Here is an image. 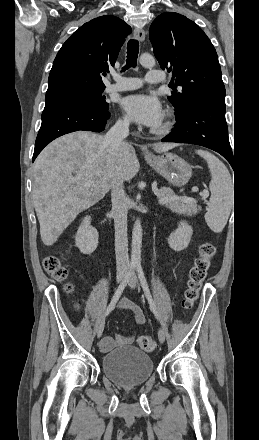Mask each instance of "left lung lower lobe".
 Returning <instances> with one entry per match:
<instances>
[{
	"label": "left lung lower lobe",
	"mask_w": 259,
	"mask_h": 440,
	"mask_svg": "<svg viewBox=\"0 0 259 440\" xmlns=\"http://www.w3.org/2000/svg\"><path fill=\"white\" fill-rule=\"evenodd\" d=\"M224 100L201 97L176 117V128L162 142L189 143L207 147L225 157L233 167V155L225 120Z\"/></svg>",
	"instance_id": "0a47b994"
}]
</instances>
